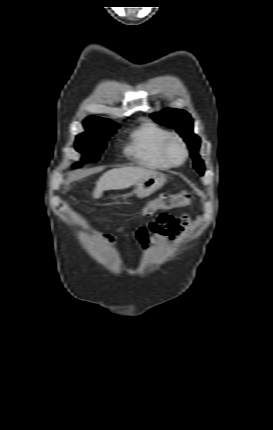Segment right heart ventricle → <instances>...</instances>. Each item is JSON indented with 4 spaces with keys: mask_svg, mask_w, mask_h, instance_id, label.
<instances>
[{
    "mask_svg": "<svg viewBox=\"0 0 273 430\" xmlns=\"http://www.w3.org/2000/svg\"><path fill=\"white\" fill-rule=\"evenodd\" d=\"M171 132L153 121L146 120L130 134V143L126 151L140 165L151 169H169L172 167L162 156L161 147Z\"/></svg>",
    "mask_w": 273,
    "mask_h": 430,
    "instance_id": "e07e8e85",
    "label": "right heart ventricle"
}]
</instances>
